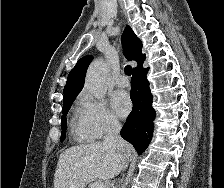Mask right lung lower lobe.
Instances as JSON below:
<instances>
[{
  "instance_id": "98d812e1",
  "label": "right lung lower lobe",
  "mask_w": 224,
  "mask_h": 188,
  "mask_svg": "<svg viewBox=\"0 0 224 188\" xmlns=\"http://www.w3.org/2000/svg\"><path fill=\"white\" fill-rule=\"evenodd\" d=\"M149 68L133 70L130 97L133 110L121 130V136L130 142L141 154L148 147L153 135V120L156 117L152 107L153 96L149 89L146 74Z\"/></svg>"
}]
</instances>
